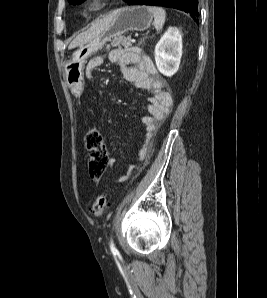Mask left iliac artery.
Returning a JSON list of instances; mask_svg holds the SVG:
<instances>
[{"mask_svg": "<svg viewBox=\"0 0 267 298\" xmlns=\"http://www.w3.org/2000/svg\"><path fill=\"white\" fill-rule=\"evenodd\" d=\"M110 249L113 255H117L118 254V250L114 245V242L112 240V238L110 239Z\"/></svg>", "mask_w": 267, "mask_h": 298, "instance_id": "1", "label": "left iliac artery"}]
</instances>
